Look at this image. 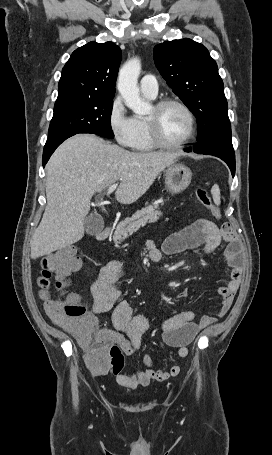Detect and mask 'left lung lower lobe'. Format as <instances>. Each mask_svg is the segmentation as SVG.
<instances>
[{
    "mask_svg": "<svg viewBox=\"0 0 272 455\" xmlns=\"http://www.w3.org/2000/svg\"><path fill=\"white\" fill-rule=\"evenodd\" d=\"M186 152L209 154L221 158L229 166L232 176L235 175V154L231 139V130H225L198 141L193 148L184 149Z\"/></svg>",
    "mask_w": 272,
    "mask_h": 455,
    "instance_id": "left-lung-lower-lobe-1",
    "label": "left lung lower lobe"
}]
</instances>
